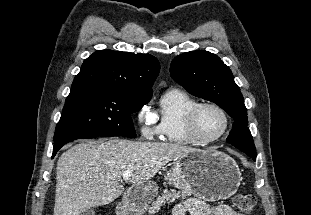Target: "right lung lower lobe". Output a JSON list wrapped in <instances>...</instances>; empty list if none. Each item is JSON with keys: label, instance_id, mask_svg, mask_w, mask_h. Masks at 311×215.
<instances>
[{"label": "right lung lower lobe", "instance_id": "right-lung-lower-lobe-1", "mask_svg": "<svg viewBox=\"0 0 311 215\" xmlns=\"http://www.w3.org/2000/svg\"><path fill=\"white\" fill-rule=\"evenodd\" d=\"M73 141V140H72ZM70 141H65V142H62V143H58V144H55L54 147H53V154H52V158L55 156V154L57 153V151L62 147L64 146L66 143H68Z\"/></svg>", "mask_w": 311, "mask_h": 215}]
</instances>
